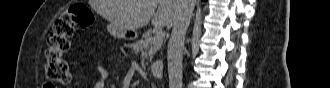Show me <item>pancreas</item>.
Wrapping results in <instances>:
<instances>
[{"mask_svg":"<svg viewBox=\"0 0 330 88\" xmlns=\"http://www.w3.org/2000/svg\"><path fill=\"white\" fill-rule=\"evenodd\" d=\"M163 42L162 43H157L155 40H154V36L152 35H147L143 40H140L138 42H136L134 45H133V51L135 53L137 52H141V58L142 60L144 59H152L153 58V55L158 51L160 50L161 46H162ZM148 51V53H147Z\"/></svg>","mask_w":330,"mask_h":88,"instance_id":"obj_1","label":"pancreas"}]
</instances>
